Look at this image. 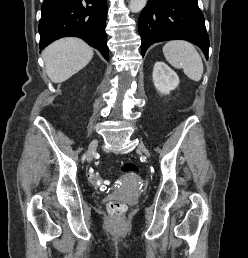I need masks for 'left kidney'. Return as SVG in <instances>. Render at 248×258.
I'll return each mask as SVG.
<instances>
[{
  "mask_svg": "<svg viewBox=\"0 0 248 258\" xmlns=\"http://www.w3.org/2000/svg\"><path fill=\"white\" fill-rule=\"evenodd\" d=\"M154 86L161 94H169L179 85V77L166 63L157 61L152 74Z\"/></svg>",
  "mask_w": 248,
  "mask_h": 258,
  "instance_id": "left-kidney-1",
  "label": "left kidney"
}]
</instances>
